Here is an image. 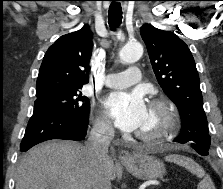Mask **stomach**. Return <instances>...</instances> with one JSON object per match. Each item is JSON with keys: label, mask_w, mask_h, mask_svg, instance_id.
Returning <instances> with one entry per match:
<instances>
[{"label": "stomach", "mask_w": 223, "mask_h": 189, "mask_svg": "<svg viewBox=\"0 0 223 189\" xmlns=\"http://www.w3.org/2000/svg\"><path fill=\"white\" fill-rule=\"evenodd\" d=\"M126 169L135 177L142 180L162 178L165 166L159 159L147 154H135L131 161L124 162Z\"/></svg>", "instance_id": "0dacf381"}]
</instances>
